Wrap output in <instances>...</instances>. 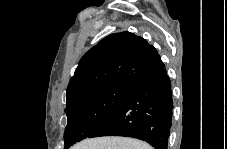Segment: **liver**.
Here are the masks:
<instances>
[{"instance_id": "obj_1", "label": "liver", "mask_w": 227, "mask_h": 149, "mask_svg": "<svg viewBox=\"0 0 227 149\" xmlns=\"http://www.w3.org/2000/svg\"><path fill=\"white\" fill-rule=\"evenodd\" d=\"M75 149H152L147 143L128 137H98L86 139Z\"/></svg>"}]
</instances>
